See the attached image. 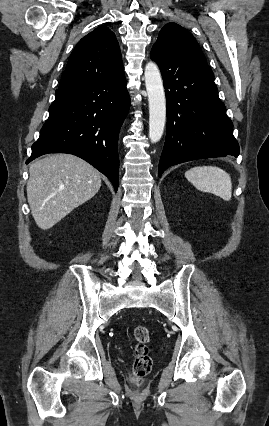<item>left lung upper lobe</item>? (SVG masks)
Listing matches in <instances>:
<instances>
[{"label":"left lung upper lobe","mask_w":269,"mask_h":426,"mask_svg":"<svg viewBox=\"0 0 269 426\" xmlns=\"http://www.w3.org/2000/svg\"><path fill=\"white\" fill-rule=\"evenodd\" d=\"M155 47L192 56L207 63L206 58L193 35L180 25L170 22L160 31Z\"/></svg>","instance_id":"obj_1"}]
</instances>
